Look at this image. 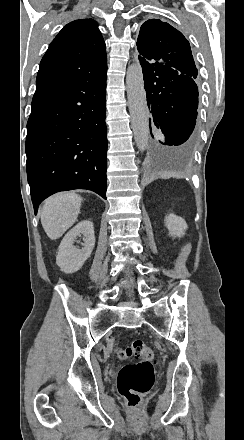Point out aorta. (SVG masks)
Returning <instances> with one entry per match:
<instances>
[{"label":"aorta","instance_id":"aorta-1","mask_svg":"<svg viewBox=\"0 0 244 440\" xmlns=\"http://www.w3.org/2000/svg\"><path fill=\"white\" fill-rule=\"evenodd\" d=\"M126 89L136 145L144 151L148 146L149 123L147 117V98L144 90L143 74L139 64H131L127 69Z\"/></svg>","mask_w":244,"mask_h":440}]
</instances>
